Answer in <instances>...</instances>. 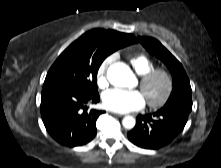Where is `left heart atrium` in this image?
<instances>
[{
    "label": "left heart atrium",
    "mask_w": 221,
    "mask_h": 168,
    "mask_svg": "<svg viewBox=\"0 0 221 168\" xmlns=\"http://www.w3.org/2000/svg\"><path fill=\"white\" fill-rule=\"evenodd\" d=\"M103 106L113 112L127 113L144 107L145 97L138 90L110 89L102 95Z\"/></svg>",
    "instance_id": "left-heart-atrium-1"
}]
</instances>
